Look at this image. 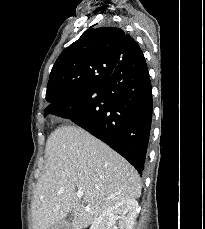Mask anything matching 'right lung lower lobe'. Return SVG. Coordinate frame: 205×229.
<instances>
[{
  "mask_svg": "<svg viewBox=\"0 0 205 229\" xmlns=\"http://www.w3.org/2000/svg\"><path fill=\"white\" fill-rule=\"evenodd\" d=\"M152 90L142 51L119 62L100 83L51 103L45 114L69 118L142 174L152 119Z\"/></svg>",
  "mask_w": 205,
  "mask_h": 229,
  "instance_id": "98d812e1",
  "label": "right lung lower lobe"
}]
</instances>
